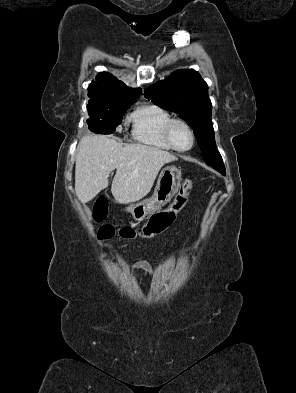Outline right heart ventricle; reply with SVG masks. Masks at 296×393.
I'll return each instance as SVG.
<instances>
[{
    "mask_svg": "<svg viewBox=\"0 0 296 393\" xmlns=\"http://www.w3.org/2000/svg\"><path fill=\"white\" fill-rule=\"evenodd\" d=\"M171 119L170 112L159 105H141L130 116L132 137L154 148L172 150L165 138V128Z\"/></svg>",
    "mask_w": 296,
    "mask_h": 393,
    "instance_id": "right-heart-ventricle-1",
    "label": "right heart ventricle"
}]
</instances>
